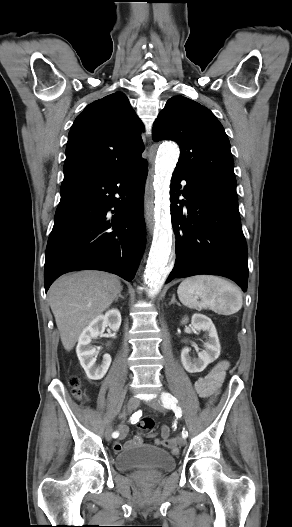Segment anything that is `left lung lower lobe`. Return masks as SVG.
Wrapping results in <instances>:
<instances>
[{
  "instance_id": "obj_1",
  "label": "left lung lower lobe",
  "mask_w": 292,
  "mask_h": 527,
  "mask_svg": "<svg viewBox=\"0 0 292 527\" xmlns=\"http://www.w3.org/2000/svg\"><path fill=\"white\" fill-rule=\"evenodd\" d=\"M182 180L187 184L180 191ZM170 193L176 261L167 282L174 277L220 275L232 279L246 290L247 245L236 190L187 180L174 172ZM181 194L186 201L178 200ZM184 204L187 215L183 213Z\"/></svg>"
}]
</instances>
